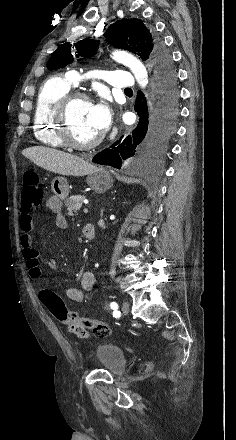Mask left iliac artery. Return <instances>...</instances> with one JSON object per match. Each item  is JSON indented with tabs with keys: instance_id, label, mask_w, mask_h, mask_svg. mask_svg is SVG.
<instances>
[{
	"instance_id": "left-iliac-artery-1",
	"label": "left iliac artery",
	"mask_w": 236,
	"mask_h": 440,
	"mask_svg": "<svg viewBox=\"0 0 236 440\" xmlns=\"http://www.w3.org/2000/svg\"><path fill=\"white\" fill-rule=\"evenodd\" d=\"M111 309H114V316L117 315V309H118V304L116 302H111L110 304Z\"/></svg>"
}]
</instances>
